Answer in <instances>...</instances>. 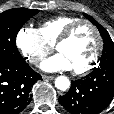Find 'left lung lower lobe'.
Wrapping results in <instances>:
<instances>
[{
  "mask_svg": "<svg viewBox=\"0 0 114 114\" xmlns=\"http://www.w3.org/2000/svg\"><path fill=\"white\" fill-rule=\"evenodd\" d=\"M114 96V64L99 66L86 77L72 81L70 90L59 97L71 114H97Z\"/></svg>",
  "mask_w": 114,
  "mask_h": 114,
  "instance_id": "0a47b994",
  "label": "left lung lower lobe"
}]
</instances>
